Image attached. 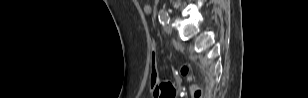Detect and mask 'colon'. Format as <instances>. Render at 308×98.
Instances as JSON below:
<instances>
[{
	"mask_svg": "<svg viewBox=\"0 0 308 98\" xmlns=\"http://www.w3.org/2000/svg\"><path fill=\"white\" fill-rule=\"evenodd\" d=\"M180 72L183 77L192 82V77L188 66L183 65L180 68ZM151 91L155 98H173L176 94L175 87L170 80L161 81L159 79L158 58L155 49H153L151 56ZM190 91L193 98L203 97L202 89L195 83H191Z\"/></svg>",
	"mask_w": 308,
	"mask_h": 98,
	"instance_id": "colon-1",
	"label": "colon"
}]
</instances>
